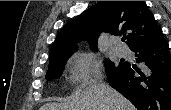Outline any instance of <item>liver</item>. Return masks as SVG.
I'll list each match as a JSON object with an SVG mask.
<instances>
[{"label":"liver","mask_w":171,"mask_h":110,"mask_svg":"<svg viewBox=\"0 0 171 110\" xmlns=\"http://www.w3.org/2000/svg\"><path fill=\"white\" fill-rule=\"evenodd\" d=\"M65 103H47L40 110H135V107L108 84L92 80L82 85Z\"/></svg>","instance_id":"1"}]
</instances>
